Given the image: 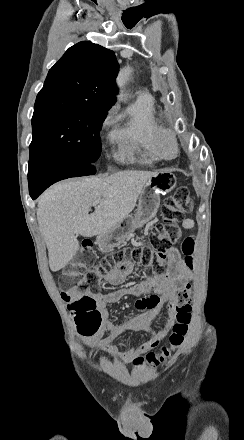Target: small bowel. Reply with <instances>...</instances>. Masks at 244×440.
Listing matches in <instances>:
<instances>
[{"instance_id":"c3829d8e","label":"small bowel","mask_w":244,"mask_h":440,"mask_svg":"<svg viewBox=\"0 0 244 440\" xmlns=\"http://www.w3.org/2000/svg\"><path fill=\"white\" fill-rule=\"evenodd\" d=\"M186 230L194 228V220L187 218L182 221ZM98 271V270H97ZM135 272L133 263L124 259L119 265L111 268L102 276L107 283L113 286L121 285L125 279ZM193 280V273L176 248H171L166 255V271L157 275H148L136 283L108 293H80L72 289L68 296L72 299L91 298L101 315L98 330L85 340L86 344L98 352L111 358H117L120 363L128 364L134 360L136 353H146L156 348L169 333L173 322V304L177 291L188 286ZM126 296L138 297L136 307L144 310L141 315L135 316L123 323H115L110 316L107 306L118 303ZM168 304V316L162 327L155 330L153 320L159 315L164 305ZM108 332L107 336L104 333ZM128 332H146L149 339L141 343H133L123 352H118L111 343L118 336Z\"/></svg>"}]
</instances>
